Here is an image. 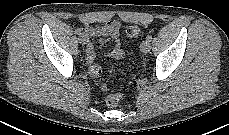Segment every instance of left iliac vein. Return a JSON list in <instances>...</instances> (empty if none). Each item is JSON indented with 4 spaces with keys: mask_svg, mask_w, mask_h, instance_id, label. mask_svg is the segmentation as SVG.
Returning <instances> with one entry per match:
<instances>
[{
    "mask_svg": "<svg viewBox=\"0 0 229 135\" xmlns=\"http://www.w3.org/2000/svg\"><path fill=\"white\" fill-rule=\"evenodd\" d=\"M141 47L144 53H148L151 49V43L149 41H144Z\"/></svg>",
    "mask_w": 229,
    "mask_h": 135,
    "instance_id": "left-iliac-vein-1",
    "label": "left iliac vein"
}]
</instances>
